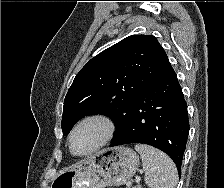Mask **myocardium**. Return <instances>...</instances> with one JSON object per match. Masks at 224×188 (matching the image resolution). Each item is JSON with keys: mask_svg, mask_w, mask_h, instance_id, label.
Here are the masks:
<instances>
[{"mask_svg": "<svg viewBox=\"0 0 224 188\" xmlns=\"http://www.w3.org/2000/svg\"><path fill=\"white\" fill-rule=\"evenodd\" d=\"M89 121H98L103 124L105 128V133L100 142L94 146L91 150L85 152V153H75L73 150V138L76 133V131L79 129L80 126H82L84 123L89 122ZM116 132V124L115 121L107 114L104 113H93L85 116L82 118L72 129L71 134L69 136V149L71 153L74 156L82 157V156H88L102 147H104L108 142L111 141V139L114 137V134Z\"/></svg>", "mask_w": 224, "mask_h": 188, "instance_id": "f54148a6", "label": "myocardium"}]
</instances>
